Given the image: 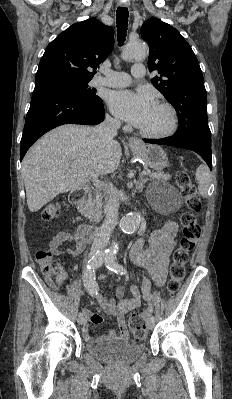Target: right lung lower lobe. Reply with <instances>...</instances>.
Returning a JSON list of instances; mask_svg holds the SVG:
<instances>
[{
    "label": "right lung lower lobe",
    "instance_id": "1",
    "mask_svg": "<svg viewBox=\"0 0 232 399\" xmlns=\"http://www.w3.org/2000/svg\"><path fill=\"white\" fill-rule=\"evenodd\" d=\"M102 100H83L57 82H35L21 139L20 160L33 143L49 130L68 123L99 124L104 120Z\"/></svg>",
    "mask_w": 232,
    "mask_h": 399
}]
</instances>
